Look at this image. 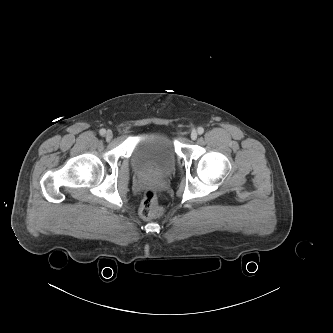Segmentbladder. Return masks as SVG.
Segmentation results:
<instances>
[{
  "label": "bladder",
  "instance_id": "bladder-1",
  "mask_svg": "<svg viewBox=\"0 0 333 333\" xmlns=\"http://www.w3.org/2000/svg\"><path fill=\"white\" fill-rule=\"evenodd\" d=\"M130 159L136 172L164 176L175 168L177 154L170 134L154 130L136 143Z\"/></svg>",
  "mask_w": 333,
  "mask_h": 333
}]
</instances>
